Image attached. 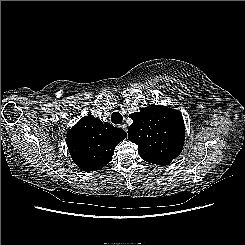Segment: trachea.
I'll list each match as a JSON object with an SVG mask.
<instances>
[{"label": "trachea", "mask_w": 245, "mask_h": 245, "mask_svg": "<svg viewBox=\"0 0 245 245\" xmlns=\"http://www.w3.org/2000/svg\"><path fill=\"white\" fill-rule=\"evenodd\" d=\"M123 118L122 115L119 112H113L111 115V121L114 124H120L122 122Z\"/></svg>", "instance_id": "trachea-1"}]
</instances>
